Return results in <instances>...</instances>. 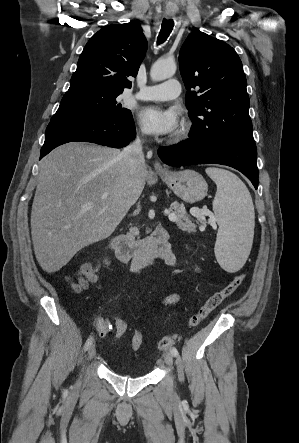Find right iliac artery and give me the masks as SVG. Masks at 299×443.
I'll list each match as a JSON object with an SVG mask.
<instances>
[{"label":"right iliac artery","mask_w":299,"mask_h":443,"mask_svg":"<svg viewBox=\"0 0 299 443\" xmlns=\"http://www.w3.org/2000/svg\"><path fill=\"white\" fill-rule=\"evenodd\" d=\"M92 343H93V337L90 336L84 345V350L87 351L92 346Z\"/></svg>","instance_id":"1"}]
</instances>
